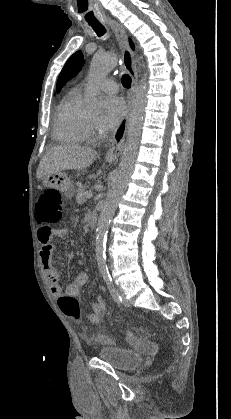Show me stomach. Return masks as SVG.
<instances>
[{
  "label": "stomach",
  "mask_w": 231,
  "mask_h": 419,
  "mask_svg": "<svg viewBox=\"0 0 231 419\" xmlns=\"http://www.w3.org/2000/svg\"><path fill=\"white\" fill-rule=\"evenodd\" d=\"M43 185L48 188H54L67 197L71 198L74 194V187L69 177L64 172H57L44 176L42 179Z\"/></svg>",
  "instance_id": "1"
}]
</instances>
